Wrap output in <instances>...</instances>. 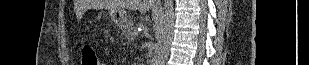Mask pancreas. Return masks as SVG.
<instances>
[{"instance_id": "cf45deb5", "label": "pancreas", "mask_w": 309, "mask_h": 65, "mask_svg": "<svg viewBox=\"0 0 309 65\" xmlns=\"http://www.w3.org/2000/svg\"><path fill=\"white\" fill-rule=\"evenodd\" d=\"M135 29H136V27L134 26V24H133V23H130V24H129V30H128V32L131 33V31H133V30H135Z\"/></svg>"}]
</instances>
